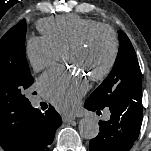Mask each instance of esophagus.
<instances>
[{
    "instance_id": "1",
    "label": "esophagus",
    "mask_w": 151,
    "mask_h": 151,
    "mask_svg": "<svg viewBox=\"0 0 151 151\" xmlns=\"http://www.w3.org/2000/svg\"><path fill=\"white\" fill-rule=\"evenodd\" d=\"M78 116L77 115H72V114H63L62 115V120L64 122H71L75 120Z\"/></svg>"
}]
</instances>
